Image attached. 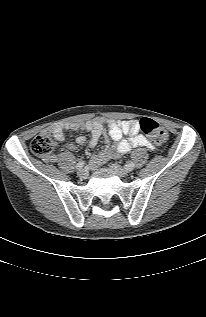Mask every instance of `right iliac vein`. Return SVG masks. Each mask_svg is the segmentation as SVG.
<instances>
[{"instance_id":"1","label":"right iliac vein","mask_w":206,"mask_h":317,"mask_svg":"<svg viewBox=\"0 0 206 317\" xmlns=\"http://www.w3.org/2000/svg\"><path fill=\"white\" fill-rule=\"evenodd\" d=\"M77 175L81 178H87L88 176V171L85 170V169H80L78 172H77Z\"/></svg>"}]
</instances>
